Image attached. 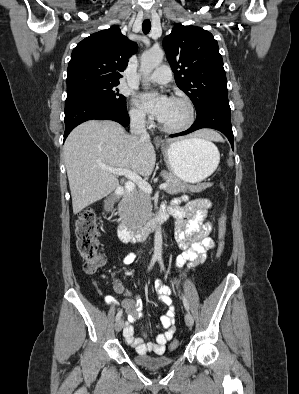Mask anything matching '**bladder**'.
I'll return each instance as SVG.
<instances>
[{"instance_id":"obj_1","label":"bladder","mask_w":299,"mask_h":394,"mask_svg":"<svg viewBox=\"0 0 299 394\" xmlns=\"http://www.w3.org/2000/svg\"><path fill=\"white\" fill-rule=\"evenodd\" d=\"M134 362L143 369L155 372L172 365L174 357L169 355L151 356L137 354L134 357Z\"/></svg>"}]
</instances>
